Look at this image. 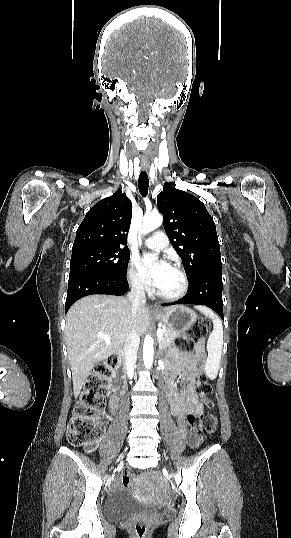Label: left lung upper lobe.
Returning a JSON list of instances; mask_svg holds the SVG:
<instances>
[{
	"label": "left lung upper lobe",
	"instance_id": "obj_1",
	"mask_svg": "<svg viewBox=\"0 0 291 538\" xmlns=\"http://www.w3.org/2000/svg\"><path fill=\"white\" fill-rule=\"evenodd\" d=\"M157 205L164 217L165 232L190 281L206 270L221 268L216 226L198 198L165 184Z\"/></svg>",
	"mask_w": 291,
	"mask_h": 538
}]
</instances>
